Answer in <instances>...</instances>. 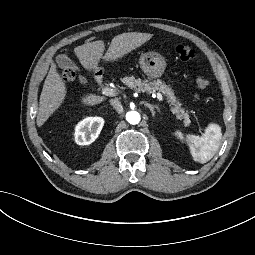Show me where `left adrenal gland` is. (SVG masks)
Listing matches in <instances>:
<instances>
[{
    "label": "left adrenal gland",
    "mask_w": 255,
    "mask_h": 255,
    "mask_svg": "<svg viewBox=\"0 0 255 255\" xmlns=\"http://www.w3.org/2000/svg\"><path fill=\"white\" fill-rule=\"evenodd\" d=\"M146 106L148 108H150L151 112H152V116L155 117L156 116V111H158V109L154 106H152V104L146 103Z\"/></svg>",
    "instance_id": "1"
}]
</instances>
